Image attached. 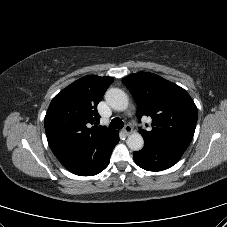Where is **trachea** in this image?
<instances>
[{
    "mask_svg": "<svg viewBox=\"0 0 227 227\" xmlns=\"http://www.w3.org/2000/svg\"><path fill=\"white\" fill-rule=\"evenodd\" d=\"M109 127L113 129H121L124 127V123L120 118H114L111 120Z\"/></svg>",
    "mask_w": 227,
    "mask_h": 227,
    "instance_id": "1",
    "label": "trachea"
}]
</instances>
